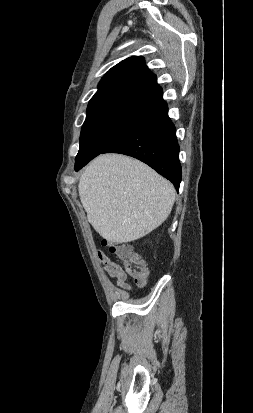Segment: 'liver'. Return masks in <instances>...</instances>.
<instances>
[{
	"mask_svg": "<svg viewBox=\"0 0 253 413\" xmlns=\"http://www.w3.org/2000/svg\"><path fill=\"white\" fill-rule=\"evenodd\" d=\"M81 203L95 231L113 243L144 237L170 215L173 185L146 164L120 154H102L84 169Z\"/></svg>",
	"mask_w": 253,
	"mask_h": 413,
	"instance_id": "liver-1",
	"label": "liver"
}]
</instances>
